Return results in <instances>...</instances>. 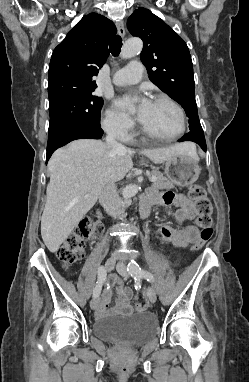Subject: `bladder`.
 Returning a JSON list of instances; mask_svg holds the SVG:
<instances>
[{
  "label": "bladder",
  "mask_w": 249,
  "mask_h": 382,
  "mask_svg": "<svg viewBox=\"0 0 249 382\" xmlns=\"http://www.w3.org/2000/svg\"><path fill=\"white\" fill-rule=\"evenodd\" d=\"M93 332L110 343L137 346L156 336L158 320L148 313L108 316L95 320Z\"/></svg>",
  "instance_id": "1"
}]
</instances>
